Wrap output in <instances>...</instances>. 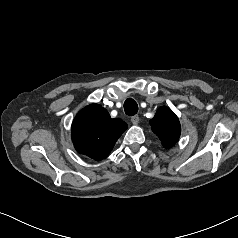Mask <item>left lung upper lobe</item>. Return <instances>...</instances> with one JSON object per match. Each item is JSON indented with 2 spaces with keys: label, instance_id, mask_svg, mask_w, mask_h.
<instances>
[{
  "label": "left lung upper lobe",
  "instance_id": "obj_1",
  "mask_svg": "<svg viewBox=\"0 0 238 238\" xmlns=\"http://www.w3.org/2000/svg\"><path fill=\"white\" fill-rule=\"evenodd\" d=\"M150 125L166 148L172 147L180 137L181 126L178 117L168 107L159 108L150 120Z\"/></svg>",
  "mask_w": 238,
  "mask_h": 238
}]
</instances>
